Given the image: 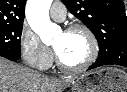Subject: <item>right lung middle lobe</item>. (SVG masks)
I'll return each mask as SVG.
<instances>
[{"label": "right lung middle lobe", "instance_id": "dd1d6c3e", "mask_svg": "<svg viewBox=\"0 0 127 92\" xmlns=\"http://www.w3.org/2000/svg\"><path fill=\"white\" fill-rule=\"evenodd\" d=\"M23 25H0V50L20 54V38Z\"/></svg>", "mask_w": 127, "mask_h": 92}]
</instances>
